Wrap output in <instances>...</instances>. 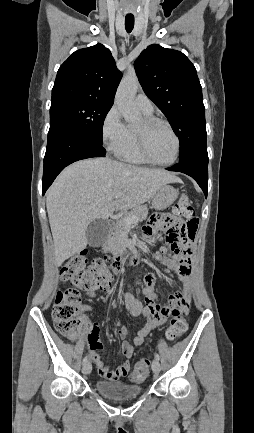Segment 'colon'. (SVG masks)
<instances>
[{
    "mask_svg": "<svg viewBox=\"0 0 254 433\" xmlns=\"http://www.w3.org/2000/svg\"><path fill=\"white\" fill-rule=\"evenodd\" d=\"M169 218L172 223L167 227V250L172 256L186 255L199 226V219L187 195L177 200ZM113 276L114 269L109 258H98L88 265V253L85 251L70 257L63 264L61 277L68 282L69 287L57 293L52 308L53 323L61 335L74 339L84 327L89 328L82 319L81 291L94 292ZM188 313V302L171 307V319L166 328L168 341H175L186 332ZM150 364L148 359L139 361L130 374V381L143 382L149 375Z\"/></svg>",
    "mask_w": 254,
    "mask_h": 433,
    "instance_id": "colon-1",
    "label": "colon"
}]
</instances>
